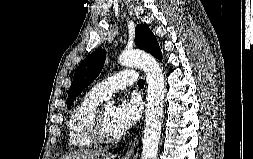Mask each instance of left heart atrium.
<instances>
[{"instance_id": "1", "label": "left heart atrium", "mask_w": 253, "mask_h": 159, "mask_svg": "<svg viewBox=\"0 0 253 159\" xmlns=\"http://www.w3.org/2000/svg\"><path fill=\"white\" fill-rule=\"evenodd\" d=\"M141 104L137 98L123 99L114 109V123L119 134L128 131L139 119Z\"/></svg>"}]
</instances>
